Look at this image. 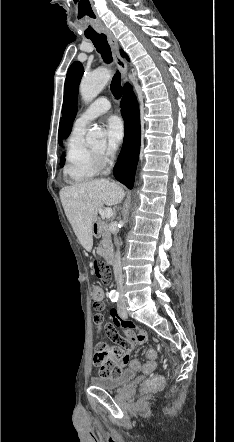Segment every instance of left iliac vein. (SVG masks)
<instances>
[{"label":"left iliac vein","mask_w":234,"mask_h":442,"mask_svg":"<svg viewBox=\"0 0 234 442\" xmlns=\"http://www.w3.org/2000/svg\"><path fill=\"white\" fill-rule=\"evenodd\" d=\"M118 313L120 315V317L122 318H127V311H126V305L124 303V300L121 298L119 303H118Z\"/></svg>","instance_id":"1"}]
</instances>
